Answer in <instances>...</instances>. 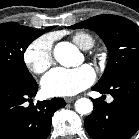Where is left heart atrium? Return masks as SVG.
Listing matches in <instances>:
<instances>
[{
    "label": "left heart atrium",
    "mask_w": 139,
    "mask_h": 139,
    "mask_svg": "<svg viewBox=\"0 0 139 139\" xmlns=\"http://www.w3.org/2000/svg\"><path fill=\"white\" fill-rule=\"evenodd\" d=\"M95 79L96 73L88 64L72 69L58 67L42 78L41 86L48 96H72L88 88Z\"/></svg>",
    "instance_id": "obj_1"
}]
</instances>
